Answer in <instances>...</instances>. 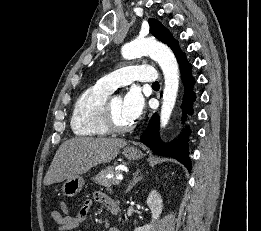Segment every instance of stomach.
Returning <instances> with one entry per match:
<instances>
[{
  "mask_svg": "<svg viewBox=\"0 0 261 231\" xmlns=\"http://www.w3.org/2000/svg\"><path fill=\"white\" fill-rule=\"evenodd\" d=\"M122 154L128 160H138L143 156L142 151L134 146L125 147ZM83 186V177L80 175H76L65 181V183L62 186V191L65 196L74 197L82 190Z\"/></svg>",
  "mask_w": 261,
  "mask_h": 231,
  "instance_id": "obj_1",
  "label": "stomach"
}]
</instances>
